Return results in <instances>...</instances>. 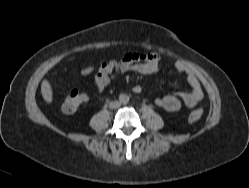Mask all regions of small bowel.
I'll return each instance as SVG.
<instances>
[{"label":"small bowel","mask_w":249,"mask_h":188,"mask_svg":"<svg viewBox=\"0 0 249 188\" xmlns=\"http://www.w3.org/2000/svg\"><path fill=\"white\" fill-rule=\"evenodd\" d=\"M160 60V56L155 53L130 51L119 61H105L100 64L94 76L96 90L99 93L103 92L111 79L118 73L133 71L142 75L155 74L159 71ZM175 68L179 73L186 76L190 91L172 93L156 98L155 104L168 112H176L182 106L194 107L203 98V90L195 73L182 62H177Z\"/></svg>","instance_id":"c3829d8e"}]
</instances>
